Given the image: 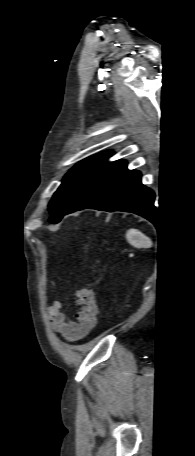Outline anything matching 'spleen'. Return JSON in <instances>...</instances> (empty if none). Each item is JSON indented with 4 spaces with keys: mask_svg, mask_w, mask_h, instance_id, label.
Masks as SVG:
<instances>
[{
    "mask_svg": "<svg viewBox=\"0 0 195 456\" xmlns=\"http://www.w3.org/2000/svg\"><path fill=\"white\" fill-rule=\"evenodd\" d=\"M126 237L129 243L136 247H150L152 245L151 240L136 229H129Z\"/></svg>",
    "mask_w": 195,
    "mask_h": 456,
    "instance_id": "obj_1",
    "label": "spleen"
}]
</instances>
